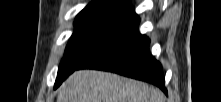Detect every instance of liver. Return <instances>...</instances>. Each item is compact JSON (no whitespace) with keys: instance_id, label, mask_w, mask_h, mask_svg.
<instances>
[{"instance_id":"6515ba94","label":"liver","mask_w":221,"mask_h":102,"mask_svg":"<svg viewBox=\"0 0 221 102\" xmlns=\"http://www.w3.org/2000/svg\"><path fill=\"white\" fill-rule=\"evenodd\" d=\"M57 102H164V95L146 83L113 73L80 70L60 87Z\"/></svg>"}]
</instances>
